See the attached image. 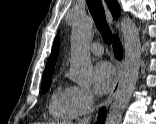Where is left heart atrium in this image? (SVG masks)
<instances>
[{"label": "left heart atrium", "instance_id": "left-heart-atrium-1", "mask_svg": "<svg viewBox=\"0 0 156 124\" xmlns=\"http://www.w3.org/2000/svg\"><path fill=\"white\" fill-rule=\"evenodd\" d=\"M93 81L98 93H107L115 81V70L113 66L105 61L99 62L93 69Z\"/></svg>", "mask_w": 156, "mask_h": 124}]
</instances>
